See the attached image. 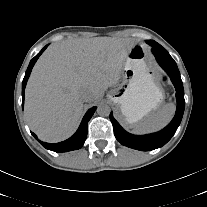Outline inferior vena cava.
<instances>
[{
	"mask_svg": "<svg viewBox=\"0 0 207 207\" xmlns=\"http://www.w3.org/2000/svg\"><path fill=\"white\" fill-rule=\"evenodd\" d=\"M81 98H82V100H83L84 102L89 101V99H90V94H89V92H84V93H82Z\"/></svg>",
	"mask_w": 207,
	"mask_h": 207,
	"instance_id": "obj_1",
	"label": "inferior vena cava"
}]
</instances>
